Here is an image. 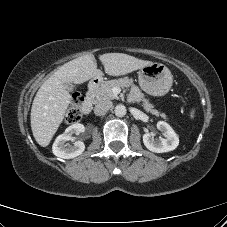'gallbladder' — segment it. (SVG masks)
<instances>
[{"mask_svg": "<svg viewBox=\"0 0 227 227\" xmlns=\"http://www.w3.org/2000/svg\"><path fill=\"white\" fill-rule=\"evenodd\" d=\"M65 88L67 89V91L71 92L74 89V85L72 83H66Z\"/></svg>", "mask_w": 227, "mask_h": 227, "instance_id": "bac80fb5", "label": "gallbladder"}]
</instances>
